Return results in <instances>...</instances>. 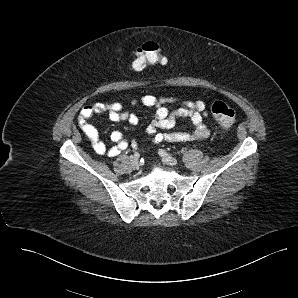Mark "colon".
Listing matches in <instances>:
<instances>
[{
	"instance_id": "1",
	"label": "colon",
	"mask_w": 298,
	"mask_h": 298,
	"mask_svg": "<svg viewBox=\"0 0 298 298\" xmlns=\"http://www.w3.org/2000/svg\"><path fill=\"white\" fill-rule=\"evenodd\" d=\"M161 49L156 42L148 41L139 46L132 61L135 71H142L150 65L163 63ZM211 113L220 127L224 130H231L236 121L234 110L222 101H215L211 105Z\"/></svg>"
}]
</instances>
